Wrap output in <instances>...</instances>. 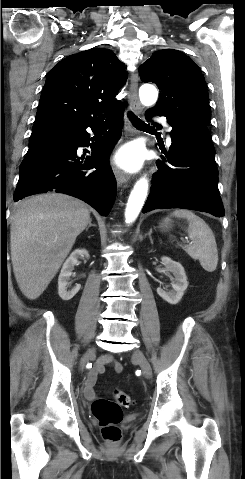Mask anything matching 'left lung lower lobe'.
I'll return each instance as SVG.
<instances>
[{
    "mask_svg": "<svg viewBox=\"0 0 245 479\" xmlns=\"http://www.w3.org/2000/svg\"><path fill=\"white\" fill-rule=\"evenodd\" d=\"M147 119L161 113L147 110ZM172 140L167 152L159 142L163 161L152 176V187L142 212L154 209L184 208L224 216L218 190L215 149L208 128L201 124L179 125L168 120ZM159 129L160 125L155 124Z\"/></svg>",
    "mask_w": 245,
    "mask_h": 479,
    "instance_id": "0a47b994",
    "label": "left lung lower lobe"
}]
</instances>
